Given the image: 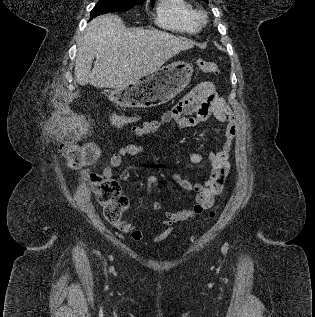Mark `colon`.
<instances>
[{
	"label": "colon",
	"mask_w": 315,
	"mask_h": 317,
	"mask_svg": "<svg viewBox=\"0 0 315 317\" xmlns=\"http://www.w3.org/2000/svg\"><path fill=\"white\" fill-rule=\"evenodd\" d=\"M200 71L209 73L218 70L214 62L199 59L196 62ZM135 121L131 116H120L116 118L114 126L120 128ZM101 154V149L94 144L75 145L68 149L69 159L76 165H86L95 161ZM91 186L97 200L103 208L104 217L111 224L121 227L123 224V213L128 208V199L121 193L119 182L111 177L102 174H92L90 177ZM215 212H210V218Z\"/></svg>",
	"instance_id": "colon-1"
}]
</instances>
